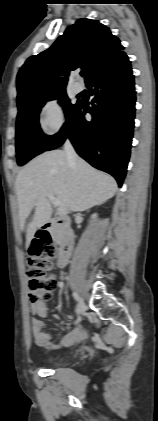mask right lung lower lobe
<instances>
[{
  "instance_id": "obj_1",
  "label": "right lung lower lobe",
  "mask_w": 158,
  "mask_h": 421,
  "mask_svg": "<svg viewBox=\"0 0 158 421\" xmlns=\"http://www.w3.org/2000/svg\"><path fill=\"white\" fill-rule=\"evenodd\" d=\"M91 106L79 101L45 151L61 146L68 137L77 153L105 171L122 186L130 156L135 117L134 77L125 53L117 55L87 82ZM92 115L90 121L84 115Z\"/></svg>"
}]
</instances>
